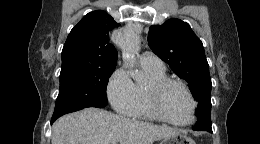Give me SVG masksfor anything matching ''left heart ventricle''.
<instances>
[{
    "mask_svg": "<svg viewBox=\"0 0 260 144\" xmlns=\"http://www.w3.org/2000/svg\"><path fill=\"white\" fill-rule=\"evenodd\" d=\"M161 106L164 113L174 121L187 122L191 117V101L179 86H173L165 92Z\"/></svg>",
    "mask_w": 260,
    "mask_h": 144,
    "instance_id": "1",
    "label": "left heart ventricle"
}]
</instances>
